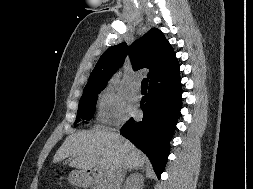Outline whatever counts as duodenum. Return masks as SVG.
Wrapping results in <instances>:
<instances>
[{
    "label": "duodenum",
    "mask_w": 253,
    "mask_h": 189,
    "mask_svg": "<svg viewBox=\"0 0 253 189\" xmlns=\"http://www.w3.org/2000/svg\"><path fill=\"white\" fill-rule=\"evenodd\" d=\"M77 181L82 186L98 185L102 189H110L109 181L106 175L95 169L80 172L77 175Z\"/></svg>",
    "instance_id": "obj_1"
}]
</instances>
